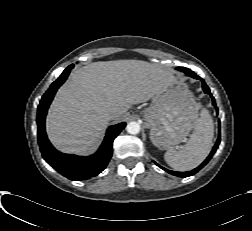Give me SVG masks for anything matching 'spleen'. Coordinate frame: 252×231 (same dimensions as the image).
<instances>
[{
  "mask_svg": "<svg viewBox=\"0 0 252 231\" xmlns=\"http://www.w3.org/2000/svg\"><path fill=\"white\" fill-rule=\"evenodd\" d=\"M214 136V125L207 109H202L195 129L186 145L179 151L169 147L164 155L167 164L176 171H190L208 156Z\"/></svg>",
  "mask_w": 252,
  "mask_h": 231,
  "instance_id": "1",
  "label": "spleen"
}]
</instances>
